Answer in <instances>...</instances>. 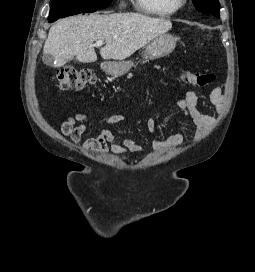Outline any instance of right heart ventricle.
Returning a JSON list of instances; mask_svg holds the SVG:
<instances>
[{"instance_id": "obj_1", "label": "right heart ventricle", "mask_w": 255, "mask_h": 272, "mask_svg": "<svg viewBox=\"0 0 255 272\" xmlns=\"http://www.w3.org/2000/svg\"><path fill=\"white\" fill-rule=\"evenodd\" d=\"M135 7L142 13L160 17L170 16L178 11L169 0H135Z\"/></svg>"}]
</instances>
